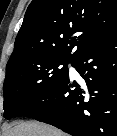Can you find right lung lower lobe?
<instances>
[{
  "label": "right lung lower lobe",
  "mask_w": 117,
  "mask_h": 136,
  "mask_svg": "<svg viewBox=\"0 0 117 136\" xmlns=\"http://www.w3.org/2000/svg\"><path fill=\"white\" fill-rule=\"evenodd\" d=\"M71 64L85 84L68 75L51 91L27 102L15 117L33 118L72 136H117V34Z\"/></svg>",
  "instance_id": "obj_1"
}]
</instances>
